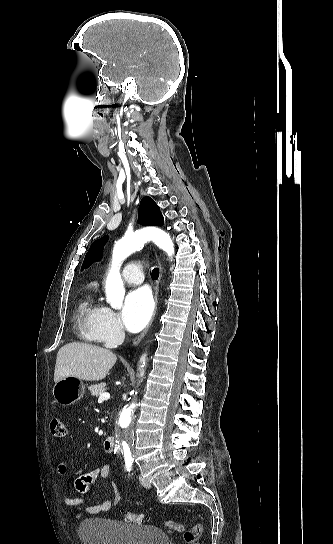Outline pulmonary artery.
Masks as SVG:
<instances>
[{"mask_svg":"<svg viewBox=\"0 0 333 544\" xmlns=\"http://www.w3.org/2000/svg\"><path fill=\"white\" fill-rule=\"evenodd\" d=\"M122 277L129 284H141L144 281L142 265L139 262L128 263L122 271Z\"/></svg>","mask_w":333,"mask_h":544,"instance_id":"obj_1","label":"pulmonary artery"}]
</instances>
